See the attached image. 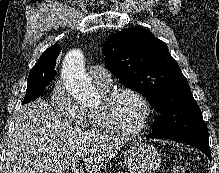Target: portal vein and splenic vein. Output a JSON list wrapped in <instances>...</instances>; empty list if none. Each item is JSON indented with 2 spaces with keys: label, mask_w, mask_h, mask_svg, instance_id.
I'll return each instance as SVG.
<instances>
[{
  "label": "portal vein and splenic vein",
  "mask_w": 219,
  "mask_h": 173,
  "mask_svg": "<svg viewBox=\"0 0 219 173\" xmlns=\"http://www.w3.org/2000/svg\"><path fill=\"white\" fill-rule=\"evenodd\" d=\"M77 167H78V164H73V165L71 166L72 169H76Z\"/></svg>",
  "instance_id": "18ae733b"
}]
</instances>
